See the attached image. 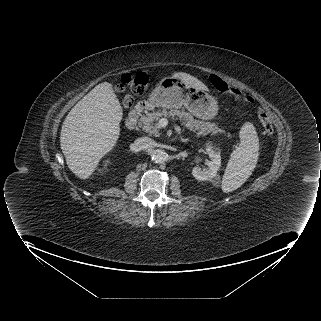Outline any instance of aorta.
Returning <instances> with one entry per match:
<instances>
[{
	"mask_svg": "<svg viewBox=\"0 0 321 321\" xmlns=\"http://www.w3.org/2000/svg\"><path fill=\"white\" fill-rule=\"evenodd\" d=\"M168 154L162 149H156L151 154V159L153 162L161 164L167 160Z\"/></svg>",
	"mask_w": 321,
	"mask_h": 321,
	"instance_id": "aorta-1",
	"label": "aorta"
}]
</instances>
